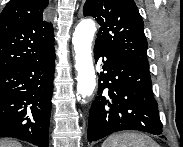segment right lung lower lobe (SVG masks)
I'll return each instance as SVG.
<instances>
[{
	"mask_svg": "<svg viewBox=\"0 0 183 147\" xmlns=\"http://www.w3.org/2000/svg\"><path fill=\"white\" fill-rule=\"evenodd\" d=\"M54 52L0 73V138L48 147Z\"/></svg>",
	"mask_w": 183,
	"mask_h": 147,
	"instance_id": "1",
	"label": "right lung lower lobe"
}]
</instances>
